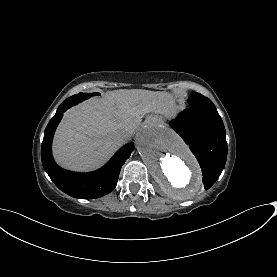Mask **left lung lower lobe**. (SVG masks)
Masks as SVG:
<instances>
[{"mask_svg":"<svg viewBox=\"0 0 277 277\" xmlns=\"http://www.w3.org/2000/svg\"><path fill=\"white\" fill-rule=\"evenodd\" d=\"M171 127L183 138L198 160L205 189L220 176L227 159L225 128L218 113L184 110Z\"/></svg>","mask_w":277,"mask_h":277,"instance_id":"0a47b994","label":"left lung lower lobe"}]
</instances>
